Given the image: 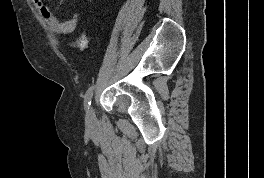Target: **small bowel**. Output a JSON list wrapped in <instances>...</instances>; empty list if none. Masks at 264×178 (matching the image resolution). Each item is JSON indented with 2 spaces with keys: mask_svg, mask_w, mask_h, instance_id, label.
I'll return each instance as SVG.
<instances>
[{
  "mask_svg": "<svg viewBox=\"0 0 264 178\" xmlns=\"http://www.w3.org/2000/svg\"><path fill=\"white\" fill-rule=\"evenodd\" d=\"M48 27L59 35H69L74 32L79 21V14L74 12L67 20L59 19L45 4L44 0H33Z\"/></svg>",
  "mask_w": 264,
  "mask_h": 178,
  "instance_id": "c3829d8e",
  "label": "small bowel"
}]
</instances>
